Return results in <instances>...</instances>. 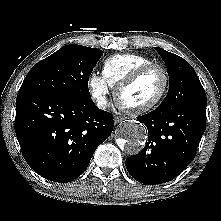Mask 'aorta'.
Wrapping results in <instances>:
<instances>
[{
    "mask_svg": "<svg viewBox=\"0 0 221 221\" xmlns=\"http://www.w3.org/2000/svg\"><path fill=\"white\" fill-rule=\"evenodd\" d=\"M122 138L117 140L118 146L128 155L138 154L146 140L145 127L138 122L128 120L121 126Z\"/></svg>",
    "mask_w": 221,
    "mask_h": 221,
    "instance_id": "obj_1",
    "label": "aorta"
}]
</instances>
